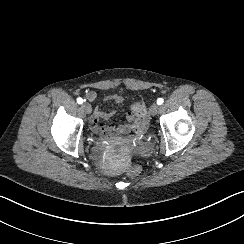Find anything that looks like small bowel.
<instances>
[{"label": "small bowel", "instance_id": "c3829d8e", "mask_svg": "<svg viewBox=\"0 0 244 244\" xmlns=\"http://www.w3.org/2000/svg\"><path fill=\"white\" fill-rule=\"evenodd\" d=\"M86 96L90 101H93L96 97L93 91L87 92ZM106 101H114L117 104H122L123 98L119 95H112L107 97ZM115 116L116 112L114 110H103L100 106H95L92 118L93 128L105 136L125 134L130 130H134L137 134H142L143 130L137 131L134 128V123L136 122V120L132 110H126L125 122L123 123L103 124V120H109L111 118H114Z\"/></svg>", "mask_w": 244, "mask_h": 244}]
</instances>
